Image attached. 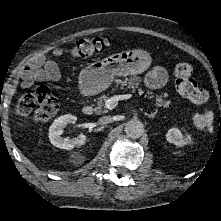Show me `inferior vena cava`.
I'll list each match as a JSON object with an SVG mask.
<instances>
[{
  "label": "inferior vena cava",
  "mask_w": 221,
  "mask_h": 221,
  "mask_svg": "<svg viewBox=\"0 0 221 221\" xmlns=\"http://www.w3.org/2000/svg\"><path fill=\"white\" fill-rule=\"evenodd\" d=\"M112 122V117L111 116H103L99 119V123L102 125H106Z\"/></svg>",
  "instance_id": "602c4592"
}]
</instances>
